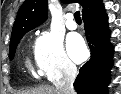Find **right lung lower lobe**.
Segmentation results:
<instances>
[{
  "label": "right lung lower lobe",
  "mask_w": 121,
  "mask_h": 94,
  "mask_svg": "<svg viewBox=\"0 0 121 94\" xmlns=\"http://www.w3.org/2000/svg\"><path fill=\"white\" fill-rule=\"evenodd\" d=\"M83 21L91 59L81 67L74 87L79 94H106L113 64V47L109 43L110 33L103 4L83 15Z\"/></svg>",
  "instance_id": "obj_1"
}]
</instances>
